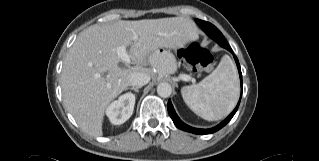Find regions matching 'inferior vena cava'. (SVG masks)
<instances>
[{"mask_svg":"<svg viewBox=\"0 0 319 161\" xmlns=\"http://www.w3.org/2000/svg\"><path fill=\"white\" fill-rule=\"evenodd\" d=\"M150 81V76L144 72H134L129 78V85L135 87H142Z\"/></svg>","mask_w":319,"mask_h":161,"instance_id":"1","label":"inferior vena cava"}]
</instances>
